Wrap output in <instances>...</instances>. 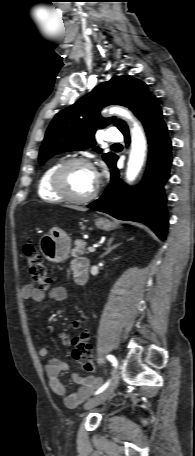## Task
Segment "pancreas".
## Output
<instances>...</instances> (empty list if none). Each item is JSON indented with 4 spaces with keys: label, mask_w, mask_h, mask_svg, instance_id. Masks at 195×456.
Instances as JSON below:
<instances>
[{
    "label": "pancreas",
    "mask_w": 195,
    "mask_h": 456,
    "mask_svg": "<svg viewBox=\"0 0 195 456\" xmlns=\"http://www.w3.org/2000/svg\"><path fill=\"white\" fill-rule=\"evenodd\" d=\"M86 242L80 239L75 240L74 248L72 249V256L76 257L77 255H84L87 253L86 249Z\"/></svg>",
    "instance_id": "cf45deb5"
}]
</instances>
